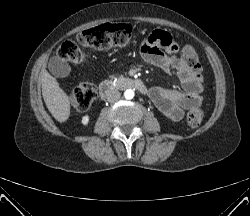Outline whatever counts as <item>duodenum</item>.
Instances as JSON below:
<instances>
[{
  "mask_svg": "<svg viewBox=\"0 0 250 216\" xmlns=\"http://www.w3.org/2000/svg\"><path fill=\"white\" fill-rule=\"evenodd\" d=\"M133 88L142 93H146L147 89L144 83L137 79L117 78L102 82L99 86V94L102 99H105L115 89Z\"/></svg>",
  "mask_w": 250,
  "mask_h": 216,
  "instance_id": "obj_1",
  "label": "duodenum"
}]
</instances>
